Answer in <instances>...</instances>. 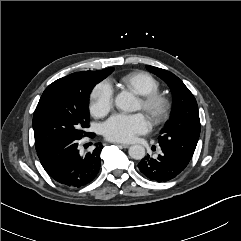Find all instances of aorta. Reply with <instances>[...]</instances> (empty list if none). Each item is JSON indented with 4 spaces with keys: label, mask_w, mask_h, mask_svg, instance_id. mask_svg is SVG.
Wrapping results in <instances>:
<instances>
[{
    "label": "aorta",
    "mask_w": 241,
    "mask_h": 241,
    "mask_svg": "<svg viewBox=\"0 0 241 241\" xmlns=\"http://www.w3.org/2000/svg\"><path fill=\"white\" fill-rule=\"evenodd\" d=\"M115 105L118 109L125 112H134L138 109V103L133 94L122 91L115 99ZM128 153L131 158L141 160L145 156V148L142 145L130 146Z\"/></svg>",
    "instance_id": "1"
}]
</instances>
